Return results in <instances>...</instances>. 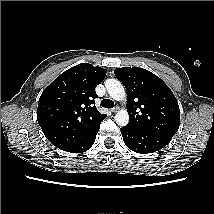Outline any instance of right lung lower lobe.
<instances>
[{
    "label": "right lung lower lobe",
    "mask_w": 214,
    "mask_h": 214,
    "mask_svg": "<svg viewBox=\"0 0 214 214\" xmlns=\"http://www.w3.org/2000/svg\"><path fill=\"white\" fill-rule=\"evenodd\" d=\"M98 131H99V128L94 133H92V135L89 138H87V140L84 141L80 146H78L77 148H75L74 150H72L70 152L71 153H83V152L87 151L94 144Z\"/></svg>",
    "instance_id": "1"
}]
</instances>
